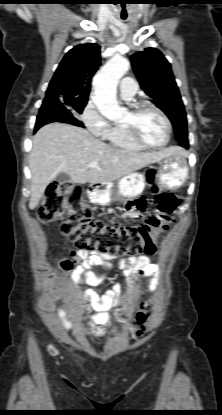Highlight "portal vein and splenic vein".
I'll use <instances>...</instances> for the list:
<instances>
[{"instance_id": "obj_1", "label": "portal vein and splenic vein", "mask_w": 222, "mask_h": 415, "mask_svg": "<svg viewBox=\"0 0 222 415\" xmlns=\"http://www.w3.org/2000/svg\"><path fill=\"white\" fill-rule=\"evenodd\" d=\"M88 168H97L98 167V162H91L87 165Z\"/></svg>"}]
</instances>
